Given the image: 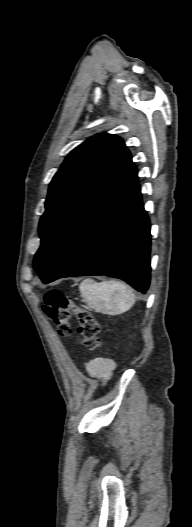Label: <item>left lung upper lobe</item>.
<instances>
[{
  "label": "left lung upper lobe",
  "mask_w": 192,
  "mask_h": 527,
  "mask_svg": "<svg viewBox=\"0 0 192 527\" xmlns=\"http://www.w3.org/2000/svg\"><path fill=\"white\" fill-rule=\"evenodd\" d=\"M133 166L123 140L111 134L95 135L71 151L50 183L39 224L41 246L33 266L40 277Z\"/></svg>",
  "instance_id": "1"
}]
</instances>
